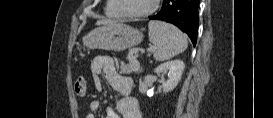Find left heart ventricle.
<instances>
[{
  "mask_svg": "<svg viewBox=\"0 0 273 118\" xmlns=\"http://www.w3.org/2000/svg\"><path fill=\"white\" fill-rule=\"evenodd\" d=\"M125 8L131 13H139L149 9L153 0H124Z\"/></svg>",
  "mask_w": 273,
  "mask_h": 118,
  "instance_id": "obj_1",
  "label": "left heart ventricle"
}]
</instances>
